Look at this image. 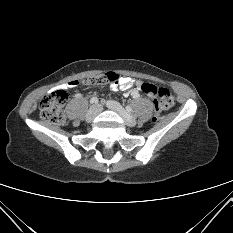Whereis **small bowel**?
Here are the masks:
<instances>
[{
    "label": "small bowel",
    "instance_id": "obj_1",
    "mask_svg": "<svg viewBox=\"0 0 233 233\" xmlns=\"http://www.w3.org/2000/svg\"><path fill=\"white\" fill-rule=\"evenodd\" d=\"M105 79L111 80L110 90L116 91L117 89L127 91V95L131 96L132 98H138L140 96L141 86L144 82L139 80H134L130 77L125 76H118L114 72H109L108 74H105ZM75 88H80V82L79 81H72L69 83H65L59 86L50 87L47 89L48 93L51 92H57L61 91L63 89H68L69 91H74ZM150 98L152 96L148 95Z\"/></svg>",
    "mask_w": 233,
    "mask_h": 233
}]
</instances>
